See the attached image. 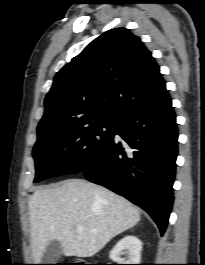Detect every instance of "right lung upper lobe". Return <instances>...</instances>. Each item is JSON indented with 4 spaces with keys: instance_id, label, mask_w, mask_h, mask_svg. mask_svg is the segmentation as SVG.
Returning a JSON list of instances; mask_svg holds the SVG:
<instances>
[{
    "instance_id": "1",
    "label": "right lung upper lobe",
    "mask_w": 205,
    "mask_h": 265,
    "mask_svg": "<svg viewBox=\"0 0 205 265\" xmlns=\"http://www.w3.org/2000/svg\"><path fill=\"white\" fill-rule=\"evenodd\" d=\"M165 89L159 66L141 39L126 28L111 29L56 74L37 131L116 123Z\"/></svg>"
}]
</instances>
